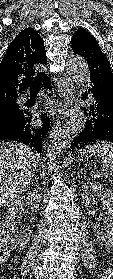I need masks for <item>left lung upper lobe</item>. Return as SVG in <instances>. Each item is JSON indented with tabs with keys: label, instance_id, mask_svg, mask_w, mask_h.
I'll list each match as a JSON object with an SVG mask.
<instances>
[{
	"label": "left lung upper lobe",
	"instance_id": "1",
	"mask_svg": "<svg viewBox=\"0 0 113 279\" xmlns=\"http://www.w3.org/2000/svg\"><path fill=\"white\" fill-rule=\"evenodd\" d=\"M73 51L83 56L90 69V80L113 88V73L107 57L96 39L86 30L78 29L71 38Z\"/></svg>",
	"mask_w": 113,
	"mask_h": 279
}]
</instances>
